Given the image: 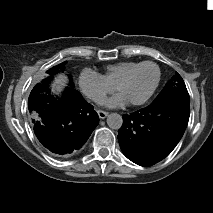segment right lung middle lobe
Masks as SVG:
<instances>
[{"label": "right lung middle lobe", "mask_w": 213, "mask_h": 213, "mask_svg": "<svg viewBox=\"0 0 213 213\" xmlns=\"http://www.w3.org/2000/svg\"><path fill=\"white\" fill-rule=\"evenodd\" d=\"M65 64H66V61L63 62V63H61V64H59V65H57V66H54V67L51 68V69H49V70L47 71V73H49V74H56V73L59 72V71H63V66H64ZM70 78H71V77H70ZM46 79H52V75L49 76V77H47ZM71 84L73 85L72 80H71Z\"/></svg>", "instance_id": "1"}]
</instances>
